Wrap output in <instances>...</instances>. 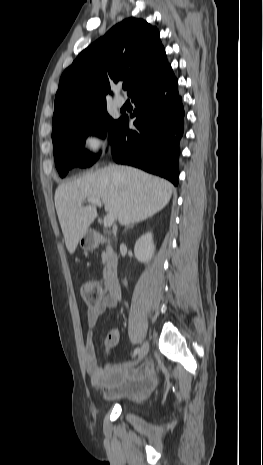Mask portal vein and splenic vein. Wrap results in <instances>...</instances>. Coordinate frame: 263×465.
Masks as SVG:
<instances>
[{
  "label": "portal vein and splenic vein",
  "instance_id": "18ae733b",
  "mask_svg": "<svg viewBox=\"0 0 263 465\" xmlns=\"http://www.w3.org/2000/svg\"><path fill=\"white\" fill-rule=\"evenodd\" d=\"M88 202L91 203L92 205H96L98 207H102V202L100 199L98 198H90L88 199ZM115 221V216L113 213H108L105 217H104V221H103V224H104V227L105 228H109L112 226V224L114 223Z\"/></svg>",
  "mask_w": 263,
  "mask_h": 465
}]
</instances>
